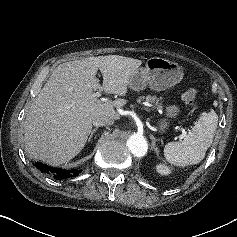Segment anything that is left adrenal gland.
Listing matches in <instances>:
<instances>
[{
  "label": "left adrenal gland",
  "mask_w": 237,
  "mask_h": 237,
  "mask_svg": "<svg viewBox=\"0 0 237 237\" xmlns=\"http://www.w3.org/2000/svg\"><path fill=\"white\" fill-rule=\"evenodd\" d=\"M150 139L152 141V144H151V150H154L158 156V153H159V149L158 147L156 146V141L157 139L152 135L150 134Z\"/></svg>",
  "instance_id": "obj_1"
}]
</instances>
